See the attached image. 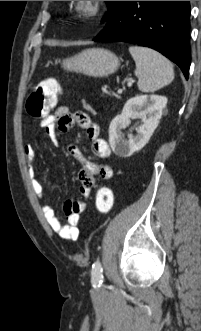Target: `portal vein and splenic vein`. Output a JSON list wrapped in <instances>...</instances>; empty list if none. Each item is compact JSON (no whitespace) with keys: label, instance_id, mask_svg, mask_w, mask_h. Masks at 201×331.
I'll use <instances>...</instances> for the list:
<instances>
[{"label":"portal vein and splenic vein","instance_id":"obj_1","mask_svg":"<svg viewBox=\"0 0 201 331\" xmlns=\"http://www.w3.org/2000/svg\"><path fill=\"white\" fill-rule=\"evenodd\" d=\"M133 82H134V79H132V78L131 79H128L127 85L128 86H132ZM118 92L121 93L122 91L119 90Z\"/></svg>","mask_w":201,"mask_h":331}]
</instances>
